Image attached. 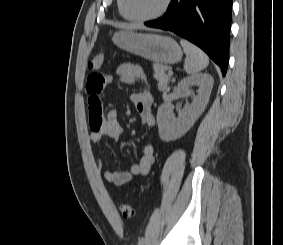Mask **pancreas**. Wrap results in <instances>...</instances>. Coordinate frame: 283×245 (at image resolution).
Returning <instances> with one entry per match:
<instances>
[{"label":"pancreas","instance_id":"pancreas-1","mask_svg":"<svg viewBox=\"0 0 283 245\" xmlns=\"http://www.w3.org/2000/svg\"><path fill=\"white\" fill-rule=\"evenodd\" d=\"M168 69L169 67L159 63L153 65L154 78L158 81L157 85L160 91H164L167 88L170 80L171 75L165 73Z\"/></svg>","mask_w":283,"mask_h":245}]
</instances>
